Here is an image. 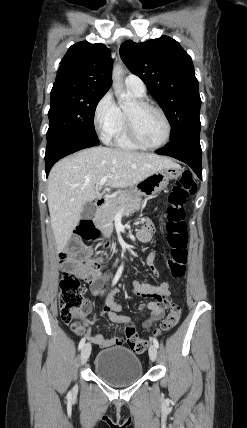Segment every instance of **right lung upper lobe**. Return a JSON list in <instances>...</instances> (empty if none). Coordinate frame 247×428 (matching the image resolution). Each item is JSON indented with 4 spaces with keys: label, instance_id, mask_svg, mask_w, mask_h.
<instances>
[{
    "label": "right lung upper lobe",
    "instance_id": "obj_1",
    "mask_svg": "<svg viewBox=\"0 0 247 428\" xmlns=\"http://www.w3.org/2000/svg\"><path fill=\"white\" fill-rule=\"evenodd\" d=\"M112 60L103 44L82 41L72 45L59 67L51 94L67 90L106 93L111 86Z\"/></svg>",
    "mask_w": 247,
    "mask_h": 428
}]
</instances>
